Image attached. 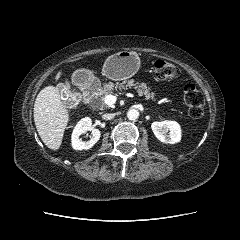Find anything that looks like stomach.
<instances>
[{"label": "stomach", "mask_w": 240, "mask_h": 240, "mask_svg": "<svg viewBox=\"0 0 240 240\" xmlns=\"http://www.w3.org/2000/svg\"><path fill=\"white\" fill-rule=\"evenodd\" d=\"M140 68V58L131 51H120L110 56L103 65V74L111 80H124L132 77ZM77 72L87 78L93 75L90 71L82 69Z\"/></svg>", "instance_id": "0dacf381"}]
</instances>
